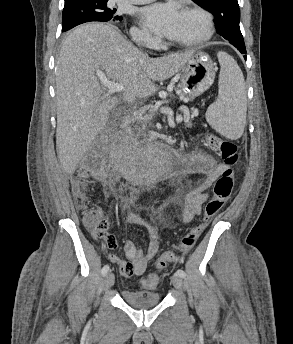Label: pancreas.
I'll return each mask as SVG.
<instances>
[{
    "label": "pancreas",
    "instance_id": "obj_1",
    "mask_svg": "<svg viewBox=\"0 0 293 344\" xmlns=\"http://www.w3.org/2000/svg\"><path fill=\"white\" fill-rule=\"evenodd\" d=\"M152 119V115H145V116H143L142 117V123H146V122H148V121H150ZM186 122V124H185V126L186 127H191V122L188 120V121H185Z\"/></svg>",
    "mask_w": 293,
    "mask_h": 344
}]
</instances>
